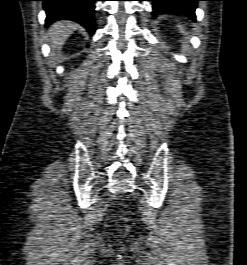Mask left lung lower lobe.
I'll use <instances>...</instances> for the list:
<instances>
[{
	"instance_id": "0a47b994",
	"label": "left lung lower lobe",
	"mask_w": 247,
	"mask_h": 265,
	"mask_svg": "<svg viewBox=\"0 0 247 265\" xmlns=\"http://www.w3.org/2000/svg\"><path fill=\"white\" fill-rule=\"evenodd\" d=\"M153 1V14L178 13L195 18V8L198 1L203 0H147Z\"/></svg>"
}]
</instances>
